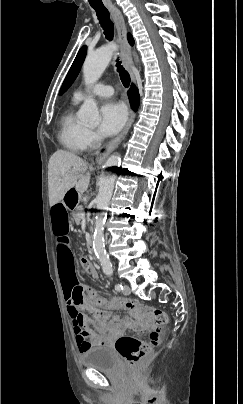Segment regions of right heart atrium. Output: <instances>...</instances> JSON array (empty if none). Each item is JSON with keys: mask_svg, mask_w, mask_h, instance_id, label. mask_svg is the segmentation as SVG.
<instances>
[{"mask_svg": "<svg viewBox=\"0 0 243 404\" xmlns=\"http://www.w3.org/2000/svg\"><path fill=\"white\" fill-rule=\"evenodd\" d=\"M84 141L86 149H96L100 146L101 138L94 130L86 129Z\"/></svg>", "mask_w": 243, "mask_h": 404, "instance_id": "obj_1", "label": "right heart atrium"}]
</instances>
